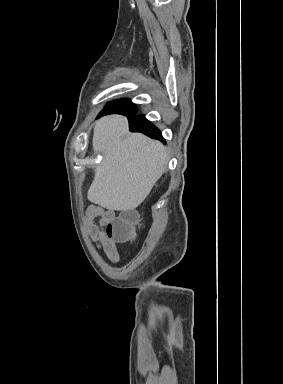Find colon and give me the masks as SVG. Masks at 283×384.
Masks as SVG:
<instances>
[{"mask_svg":"<svg viewBox=\"0 0 283 384\" xmlns=\"http://www.w3.org/2000/svg\"><path fill=\"white\" fill-rule=\"evenodd\" d=\"M139 217L134 211H126L117 216L107 227L109 237L117 242H125L133 238Z\"/></svg>","mask_w":283,"mask_h":384,"instance_id":"5ec220e1","label":"colon"}]
</instances>
